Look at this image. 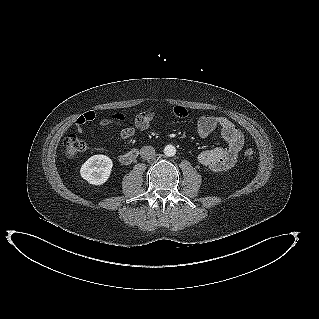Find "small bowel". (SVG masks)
<instances>
[{
	"mask_svg": "<svg viewBox=\"0 0 319 319\" xmlns=\"http://www.w3.org/2000/svg\"><path fill=\"white\" fill-rule=\"evenodd\" d=\"M172 113L177 118H185L188 115L187 109L182 106H175ZM85 115L86 114L83 116ZM83 116H81V120L76 122V127L79 132L82 131L83 125L90 121H86ZM154 116V110L139 113L135 117L133 126H124L120 130L119 138L126 140L131 138L137 130L142 131L148 129ZM122 120L123 117L117 114L109 119L102 120L101 124H120ZM217 129L226 146L203 151L198 156V162L214 172L224 171L233 167L244 144L242 132L226 117L203 115L197 121L196 130L200 137H207Z\"/></svg>",
	"mask_w": 319,
	"mask_h": 319,
	"instance_id": "obj_1",
	"label": "small bowel"
}]
</instances>
